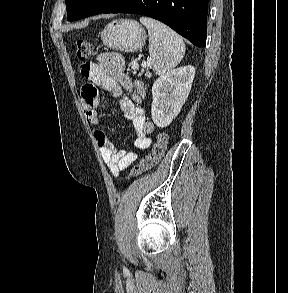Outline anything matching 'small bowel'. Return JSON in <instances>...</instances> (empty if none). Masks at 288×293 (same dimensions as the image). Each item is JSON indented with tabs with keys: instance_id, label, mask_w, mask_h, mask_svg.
<instances>
[{
	"instance_id": "small-bowel-1",
	"label": "small bowel",
	"mask_w": 288,
	"mask_h": 293,
	"mask_svg": "<svg viewBox=\"0 0 288 293\" xmlns=\"http://www.w3.org/2000/svg\"><path fill=\"white\" fill-rule=\"evenodd\" d=\"M124 59L116 53H104L99 63L86 62L81 65L80 72L89 83L82 87V105L87 122L95 127L94 138L100 149L102 159L113 176L126 169L148 149L153 139L154 124L148 120L140 104L145 98L143 83L132 80L124 72ZM97 87L111 92L118 99L123 115L132 122L136 132L134 147L136 151L117 150L108 135L99 128L101 120L98 114L100 101ZM123 91L129 96L123 95Z\"/></svg>"
}]
</instances>
